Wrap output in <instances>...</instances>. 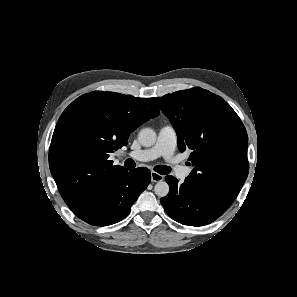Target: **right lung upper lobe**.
<instances>
[{
	"mask_svg": "<svg viewBox=\"0 0 297 297\" xmlns=\"http://www.w3.org/2000/svg\"><path fill=\"white\" fill-rule=\"evenodd\" d=\"M150 98L94 91L73 101L60 116L49 149V166L60 194L74 214L127 169L108 160L129 134L158 116Z\"/></svg>",
	"mask_w": 297,
	"mask_h": 297,
	"instance_id": "obj_1",
	"label": "right lung upper lobe"
}]
</instances>
